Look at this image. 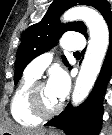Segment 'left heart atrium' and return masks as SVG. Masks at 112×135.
Segmentation results:
<instances>
[{"mask_svg":"<svg viewBox=\"0 0 112 135\" xmlns=\"http://www.w3.org/2000/svg\"><path fill=\"white\" fill-rule=\"evenodd\" d=\"M69 78L62 69L54 70L49 78L47 86L57 100H62L69 89Z\"/></svg>","mask_w":112,"mask_h":135,"instance_id":"1","label":"left heart atrium"}]
</instances>
